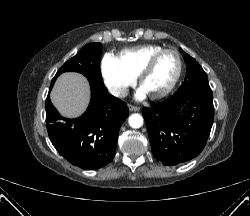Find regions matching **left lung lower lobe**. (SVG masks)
Returning a JSON list of instances; mask_svg holds the SVG:
<instances>
[{
    "mask_svg": "<svg viewBox=\"0 0 250 216\" xmlns=\"http://www.w3.org/2000/svg\"><path fill=\"white\" fill-rule=\"evenodd\" d=\"M154 157L166 166L187 162L202 151L214 119L211 94L175 97L143 108Z\"/></svg>",
    "mask_w": 250,
    "mask_h": 216,
    "instance_id": "obj_1",
    "label": "left lung lower lobe"
}]
</instances>
